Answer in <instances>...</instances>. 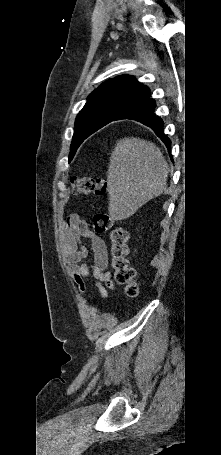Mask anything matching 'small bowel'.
Instances as JSON below:
<instances>
[{"label":"small bowel","instance_id":"obj_1","mask_svg":"<svg viewBox=\"0 0 221 455\" xmlns=\"http://www.w3.org/2000/svg\"><path fill=\"white\" fill-rule=\"evenodd\" d=\"M86 239L91 247L93 260L84 262L87 252L80 245V239ZM62 248L69 264L76 267L75 281L79 290L84 291L82 277H93L94 284L101 296L107 298L114 289L110 274L106 271L108 255L103 240L78 216L69 217L62 226Z\"/></svg>","mask_w":221,"mask_h":455}]
</instances>
